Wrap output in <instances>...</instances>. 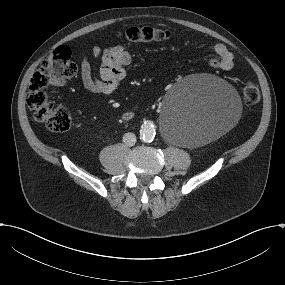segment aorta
Here are the masks:
<instances>
[{
    "label": "aorta",
    "mask_w": 285,
    "mask_h": 285,
    "mask_svg": "<svg viewBox=\"0 0 285 285\" xmlns=\"http://www.w3.org/2000/svg\"><path fill=\"white\" fill-rule=\"evenodd\" d=\"M156 131L152 122H145L140 130V139L144 142H152L155 138Z\"/></svg>",
    "instance_id": "762f6f07"
}]
</instances>
